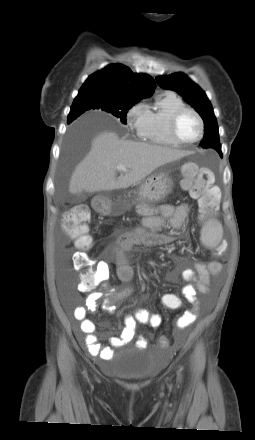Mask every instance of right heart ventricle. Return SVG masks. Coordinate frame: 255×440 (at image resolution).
<instances>
[{"label":"right heart ventricle","instance_id":"obj_1","mask_svg":"<svg viewBox=\"0 0 255 440\" xmlns=\"http://www.w3.org/2000/svg\"><path fill=\"white\" fill-rule=\"evenodd\" d=\"M182 107H185L184 101L173 92H165L158 96L151 107H146L139 136L153 144L177 146L170 134L169 122L173 113Z\"/></svg>","mask_w":255,"mask_h":440}]
</instances>
